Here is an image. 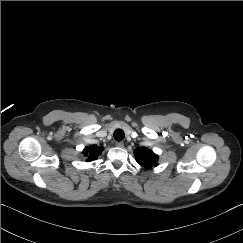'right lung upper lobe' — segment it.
<instances>
[{"label": "right lung upper lobe", "instance_id": "1", "mask_svg": "<svg viewBox=\"0 0 243 243\" xmlns=\"http://www.w3.org/2000/svg\"><path fill=\"white\" fill-rule=\"evenodd\" d=\"M103 147H97L95 145H92L90 147H85L83 150V155L87 157V161L96 160L97 157L102 153Z\"/></svg>", "mask_w": 243, "mask_h": 243}]
</instances>
